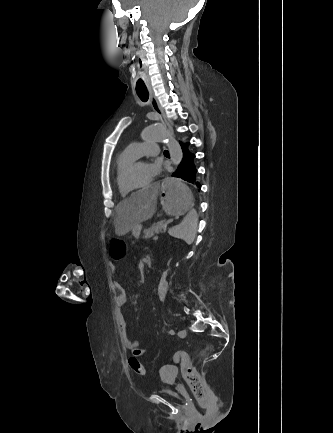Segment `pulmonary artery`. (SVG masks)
<instances>
[{
    "instance_id": "1",
    "label": "pulmonary artery",
    "mask_w": 333,
    "mask_h": 433,
    "mask_svg": "<svg viewBox=\"0 0 333 433\" xmlns=\"http://www.w3.org/2000/svg\"><path fill=\"white\" fill-rule=\"evenodd\" d=\"M127 148L136 157L143 155H157L161 152L159 145L154 141L131 143Z\"/></svg>"
}]
</instances>
